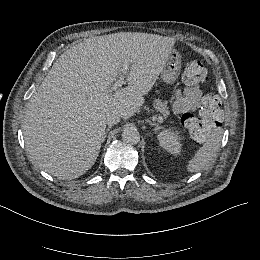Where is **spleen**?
I'll return each mask as SVG.
<instances>
[{"instance_id": "spleen-1", "label": "spleen", "mask_w": 260, "mask_h": 260, "mask_svg": "<svg viewBox=\"0 0 260 260\" xmlns=\"http://www.w3.org/2000/svg\"><path fill=\"white\" fill-rule=\"evenodd\" d=\"M223 133L222 127H215L211 130L209 138L189 161L187 167L189 172H198L207 168L219 149Z\"/></svg>"}]
</instances>
